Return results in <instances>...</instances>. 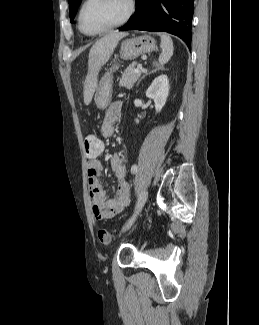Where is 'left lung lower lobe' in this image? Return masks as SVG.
Returning a JSON list of instances; mask_svg holds the SVG:
<instances>
[{
  "mask_svg": "<svg viewBox=\"0 0 259 325\" xmlns=\"http://www.w3.org/2000/svg\"><path fill=\"white\" fill-rule=\"evenodd\" d=\"M194 0H136L134 15L124 30L164 31L180 37L190 47Z\"/></svg>",
  "mask_w": 259,
  "mask_h": 325,
  "instance_id": "0a47b994",
  "label": "left lung lower lobe"
}]
</instances>
